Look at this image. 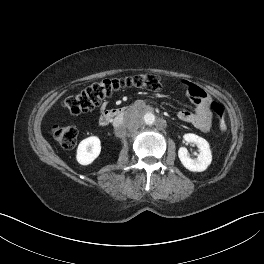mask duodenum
Masks as SVG:
<instances>
[{"label": "duodenum", "instance_id": "1", "mask_svg": "<svg viewBox=\"0 0 264 264\" xmlns=\"http://www.w3.org/2000/svg\"><path fill=\"white\" fill-rule=\"evenodd\" d=\"M126 111H127V108H125V107H115V108H111V109L105 111L100 116L99 123H100L101 126H106L110 122H112V120L116 116H122ZM146 111L147 112H153V110L151 108H146ZM158 121H160V118H158Z\"/></svg>", "mask_w": 264, "mask_h": 264}]
</instances>
